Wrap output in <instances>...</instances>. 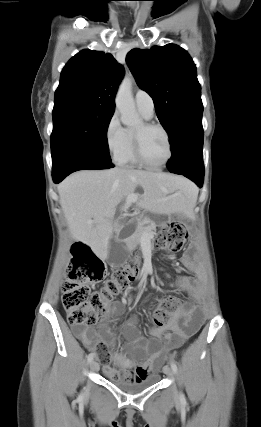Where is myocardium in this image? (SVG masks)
I'll list each match as a JSON object with an SVG mask.
<instances>
[{
    "label": "myocardium",
    "instance_id": "1",
    "mask_svg": "<svg viewBox=\"0 0 261 427\" xmlns=\"http://www.w3.org/2000/svg\"><path fill=\"white\" fill-rule=\"evenodd\" d=\"M143 127L145 129H158L160 131H162V133L165 135V138L167 140V144H168V156L166 158V160L160 164H151L149 163L142 152V146H141V139H140V135L136 132H133V149H134V155L136 160L138 161V163L146 168L149 169H161L163 167H165L170 160L173 157V145H172V141H171V137L169 132L167 131V129L159 124V123H154V122H145L143 123Z\"/></svg>",
    "mask_w": 261,
    "mask_h": 427
}]
</instances>
